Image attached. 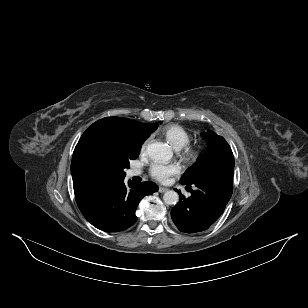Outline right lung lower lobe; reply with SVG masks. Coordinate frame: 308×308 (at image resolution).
<instances>
[{"instance_id": "98d812e1", "label": "right lung lower lobe", "mask_w": 308, "mask_h": 308, "mask_svg": "<svg viewBox=\"0 0 308 308\" xmlns=\"http://www.w3.org/2000/svg\"><path fill=\"white\" fill-rule=\"evenodd\" d=\"M158 190L153 182L134 184L124 178L110 181L76 199L84 217L105 232L125 230L137 221L135 210L140 200Z\"/></svg>"}]
</instances>
